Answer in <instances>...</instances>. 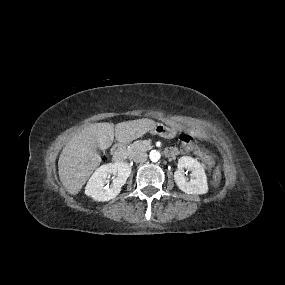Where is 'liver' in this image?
Masks as SVG:
<instances>
[{"mask_svg": "<svg viewBox=\"0 0 285 285\" xmlns=\"http://www.w3.org/2000/svg\"><path fill=\"white\" fill-rule=\"evenodd\" d=\"M156 125L154 120L142 118L121 122L115 127L108 122L86 126L68 141L59 156L58 173L62 185L71 195H76L101 163L97 148H109L114 136L117 141L128 143L142 137Z\"/></svg>", "mask_w": 285, "mask_h": 285, "instance_id": "obj_1", "label": "liver"}]
</instances>
